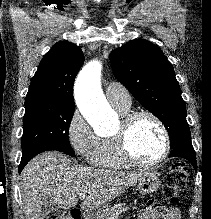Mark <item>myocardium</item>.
Listing matches in <instances>:
<instances>
[{"instance_id": "myocardium-1", "label": "myocardium", "mask_w": 211, "mask_h": 219, "mask_svg": "<svg viewBox=\"0 0 211 219\" xmlns=\"http://www.w3.org/2000/svg\"><path fill=\"white\" fill-rule=\"evenodd\" d=\"M143 116L151 118L157 124L163 136V151L161 155L153 161H142L138 159L130 148L129 136L133 128V125L137 121V119ZM114 138L116 141L118 153L121 156V158L127 164L141 168H152L160 165L167 159L171 149L169 132L164 122L161 120L159 116H157L155 113L149 110L130 111L129 113L124 115L122 123L117 133L114 135Z\"/></svg>"}]
</instances>
